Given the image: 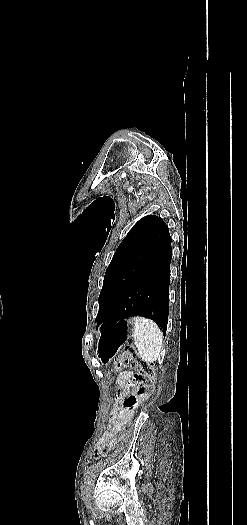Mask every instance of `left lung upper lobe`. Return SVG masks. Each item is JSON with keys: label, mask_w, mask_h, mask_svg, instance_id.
Returning <instances> with one entry per match:
<instances>
[{"label": "left lung upper lobe", "mask_w": 247, "mask_h": 525, "mask_svg": "<svg viewBox=\"0 0 247 525\" xmlns=\"http://www.w3.org/2000/svg\"><path fill=\"white\" fill-rule=\"evenodd\" d=\"M168 227L157 216L141 218L118 246L104 276L99 295L98 324L146 269Z\"/></svg>", "instance_id": "1"}]
</instances>
